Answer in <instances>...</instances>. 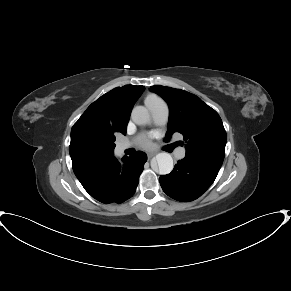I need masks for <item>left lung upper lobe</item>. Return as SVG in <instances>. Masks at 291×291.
<instances>
[{"mask_svg": "<svg viewBox=\"0 0 291 291\" xmlns=\"http://www.w3.org/2000/svg\"><path fill=\"white\" fill-rule=\"evenodd\" d=\"M169 105L166 140L174 132L183 135L186 154L224 160L226 131L218 113L199 97L180 89L151 86Z\"/></svg>", "mask_w": 291, "mask_h": 291, "instance_id": "5c2ea615", "label": "left lung upper lobe"}]
</instances>
